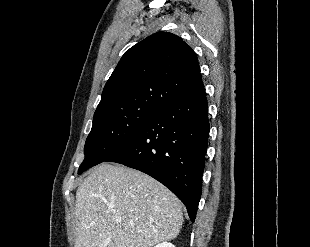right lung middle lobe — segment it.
Wrapping results in <instances>:
<instances>
[{"mask_svg":"<svg viewBox=\"0 0 310 247\" xmlns=\"http://www.w3.org/2000/svg\"><path fill=\"white\" fill-rule=\"evenodd\" d=\"M159 109L146 106L112 111L94 117L78 174L104 162L126 145Z\"/></svg>","mask_w":310,"mask_h":247,"instance_id":"right-lung-middle-lobe-1","label":"right lung middle lobe"}]
</instances>
